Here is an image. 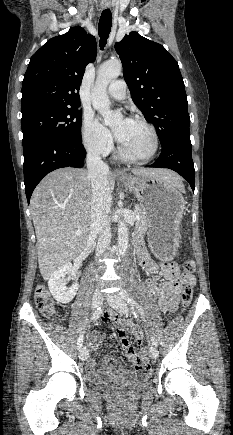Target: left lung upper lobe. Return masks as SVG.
I'll use <instances>...</instances> for the list:
<instances>
[{"instance_id": "obj_1", "label": "left lung upper lobe", "mask_w": 233, "mask_h": 435, "mask_svg": "<svg viewBox=\"0 0 233 435\" xmlns=\"http://www.w3.org/2000/svg\"><path fill=\"white\" fill-rule=\"evenodd\" d=\"M133 102L151 122L161 145L189 134L187 96L177 61L166 49L137 32L115 44Z\"/></svg>"}]
</instances>
